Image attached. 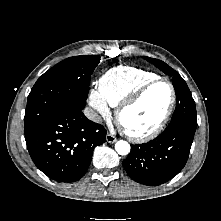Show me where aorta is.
I'll list each match as a JSON object with an SVG mask.
<instances>
[{
    "instance_id": "1",
    "label": "aorta",
    "mask_w": 221,
    "mask_h": 221,
    "mask_svg": "<svg viewBox=\"0 0 221 221\" xmlns=\"http://www.w3.org/2000/svg\"><path fill=\"white\" fill-rule=\"evenodd\" d=\"M115 150L119 155H127L130 152V145L127 141L120 140L116 142Z\"/></svg>"
}]
</instances>
